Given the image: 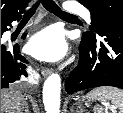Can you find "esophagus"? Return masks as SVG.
Listing matches in <instances>:
<instances>
[{
  "instance_id": "obj_1",
  "label": "esophagus",
  "mask_w": 123,
  "mask_h": 113,
  "mask_svg": "<svg viewBox=\"0 0 123 113\" xmlns=\"http://www.w3.org/2000/svg\"><path fill=\"white\" fill-rule=\"evenodd\" d=\"M51 73H52V69H50V68H42V70H41V74H42L44 77L50 75Z\"/></svg>"
}]
</instances>
